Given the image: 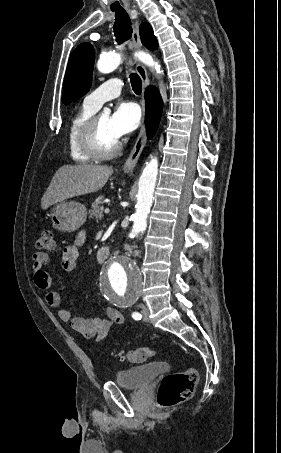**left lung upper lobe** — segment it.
I'll return each instance as SVG.
<instances>
[{"instance_id": "1", "label": "left lung upper lobe", "mask_w": 281, "mask_h": 453, "mask_svg": "<svg viewBox=\"0 0 281 453\" xmlns=\"http://www.w3.org/2000/svg\"><path fill=\"white\" fill-rule=\"evenodd\" d=\"M95 51L91 44H80L71 54L65 74L62 102L65 105L86 94L92 83Z\"/></svg>"}]
</instances>
